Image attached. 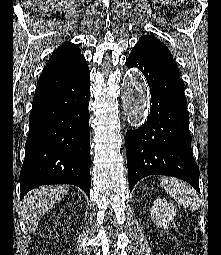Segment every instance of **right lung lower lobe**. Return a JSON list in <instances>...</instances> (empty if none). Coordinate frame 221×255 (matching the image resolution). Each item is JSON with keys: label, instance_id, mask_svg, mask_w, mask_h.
<instances>
[{"label": "right lung lower lobe", "instance_id": "1", "mask_svg": "<svg viewBox=\"0 0 221 255\" xmlns=\"http://www.w3.org/2000/svg\"><path fill=\"white\" fill-rule=\"evenodd\" d=\"M89 69L83 57L41 76L29 117L21 199L47 184H72L89 196Z\"/></svg>", "mask_w": 221, "mask_h": 255}]
</instances>
